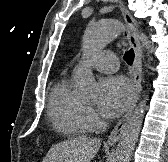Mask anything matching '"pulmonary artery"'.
Wrapping results in <instances>:
<instances>
[{"label":"pulmonary artery","mask_w":168,"mask_h":162,"mask_svg":"<svg viewBox=\"0 0 168 162\" xmlns=\"http://www.w3.org/2000/svg\"><path fill=\"white\" fill-rule=\"evenodd\" d=\"M89 64L98 71L112 73L118 69V58L114 52L106 50L93 55Z\"/></svg>","instance_id":"pulmonary-artery-1"}]
</instances>
